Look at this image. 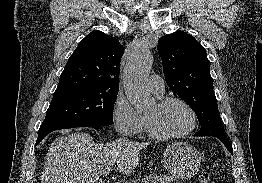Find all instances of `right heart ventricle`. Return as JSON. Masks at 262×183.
Returning a JSON list of instances; mask_svg holds the SVG:
<instances>
[{
	"label": "right heart ventricle",
	"mask_w": 262,
	"mask_h": 183,
	"mask_svg": "<svg viewBox=\"0 0 262 183\" xmlns=\"http://www.w3.org/2000/svg\"><path fill=\"white\" fill-rule=\"evenodd\" d=\"M146 130H147V126H146V121L144 120V126H143L142 131H146Z\"/></svg>",
	"instance_id": "e07e8e85"
}]
</instances>
